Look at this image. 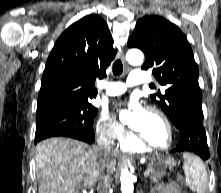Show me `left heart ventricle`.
Instances as JSON below:
<instances>
[{
    "label": "left heart ventricle",
    "instance_id": "1",
    "mask_svg": "<svg viewBox=\"0 0 221 193\" xmlns=\"http://www.w3.org/2000/svg\"><path fill=\"white\" fill-rule=\"evenodd\" d=\"M130 125L154 145L165 146L168 143L167 127L163 120L153 112L145 111L140 119L132 117Z\"/></svg>",
    "mask_w": 221,
    "mask_h": 193
}]
</instances>
